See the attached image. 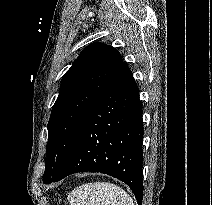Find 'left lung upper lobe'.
Returning a JSON list of instances; mask_svg holds the SVG:
<instances>
[{"label":"left lung upper lobe","instance_id":"obj_1","mask_svg":"<svg viewBox=\"0 0 212 205\" xmlns=\"http://www.w3.org/2000/svg\"><path fill=\"white\" fill-rule=\"evenodd\" d=\"M122 64L120 53L102 43L86 47L64 74L48 122L43 182H53L68 157L87 115Z\"/></svg>","mask_w":212,"mask_h":205}]
</instances>
